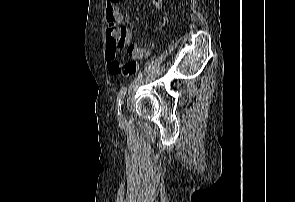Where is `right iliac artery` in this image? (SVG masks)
<instances>
[{
  "instance_id": "82829eb1",
  "label": "right iliac artery",
  "mask_w": 295,
  "mask_h": 202,
  "mask_svg": "<svg viewBox=\"0 0 295 202\" xmlns=\"http://www.w3.org/2000/svg\"><path fill=\"white\" fill-rule=\"evenodd\" d=\"M127 88L124 87L120 90L119 94H118V98H117V111H118V115H121V104L123 101V98L126 94Z\"/></svg>"
}]
</instances>
